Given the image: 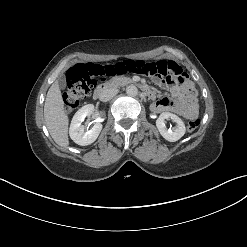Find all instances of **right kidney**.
Masks as SVG:
<instances>
[{
    "label": "right kidney",
    "instance_id": "ca27d5eb",
    "mask_svg": "<svg viewBox=\"0 0 247 247\" xmlns=\"http://www.w3.org/2000/svg\"><path fill=\"white\" fill-rule=\"evenodd\" d=\"M94 111V105L88 104L80 108L71 121L69 135L70 138L78 145L86 146L93 143L99 136L102 130V124L95 122L94 126L86 131L84 126L81 124L87 116H91Z\"/></svg>",
    "mask_w": 247,
    "mask_h": 247
}]
</instances>
